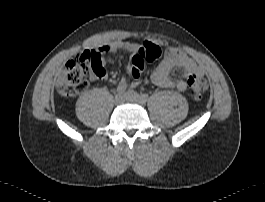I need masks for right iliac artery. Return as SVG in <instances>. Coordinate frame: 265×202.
Here are the masks:
<instances>
[{
	"label": "right iliac artery",
	"mask_w": 265,
	"mask_h": 202,
	"mask_svg": "<svg viewBox=\"0 0 265 202\" xmlns=\"http://www.w3.org/2000/svg\"><path fill=\"white\" fill-rule=\"evenodd\" d=\"M126 88H127L126 84H119L115 89L114 94L115 95L123 94Z\"/></svg>",
	"instance_id": "82829eb1"
}]
</instances>
